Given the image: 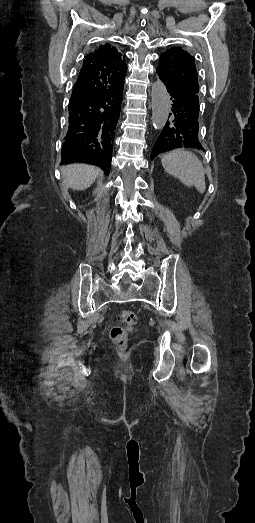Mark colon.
<instances>
[{"label":"colon","instance_id":"1","mask_svg":"<svg viewBox=\"0 0 255 523\" xmlns=\"http://www.w3.org/2000/svg\"><path fill=\"white\" fill-rule=\"evenodd\" d=\"M120 326L111 329L110 337L119 347H125L128 342V333L123 326H133L139 322L137 315L130 310H122L116 318Z\"/></svg>","mask_w":255,"mask_h":523}]
</instances>
